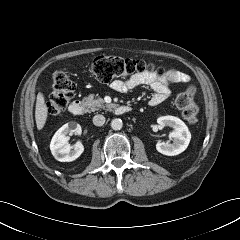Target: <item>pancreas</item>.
I'll return each instance as SVG.
<instances>
[{"label":"pancreas","mask_w":240,"mask_h":240,"mask_svg":"<svg viewBox=\"0 0 240 240\" xmlns=\"http://www.w3.org/2000/svg\"><path fill=\"white\" fill-rule=\"evenodd\" d=\"M84 102L88 107L89 111H96L100 108L111 110L115 107L114 104H105V101L100 97H95V95L90 94L88 97L84 98Z\"/></svg>","instance_id":"cf45deb5"}]
</instances>
